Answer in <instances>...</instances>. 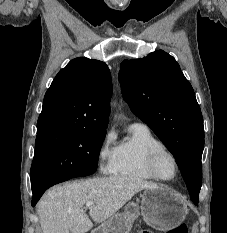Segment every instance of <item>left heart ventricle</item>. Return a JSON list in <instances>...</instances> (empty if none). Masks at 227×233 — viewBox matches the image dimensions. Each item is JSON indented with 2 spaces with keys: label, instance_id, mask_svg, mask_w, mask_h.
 Instances as JSON below:
<instances>
[{
  "label": "left heart ventricle",
  "instance_id": "1",
  "mask_svg": "<svg viewBox=\"0 0 227 233\" xmlns=\"http://www.w3.org/2000/svg\"><path fill=\"white\" fill-rule=\"evenodd\" d=\"M158 170L163 177L170 178L174 174V164L168 155H162L158 160Z\"/></svg>",
  "mask_w": 227,
  "mask_h": 233
}]
</instances>
